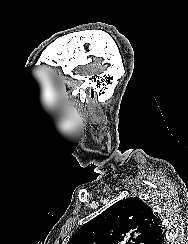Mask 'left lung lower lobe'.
<instances>
[{
	"label": "left lung lower lobe",
	"instance_id": "obj_1",
	"mask_svg": "<svg viewBox=\"0 0 188 244\" xmlns=\"http://www.w3.org/2000/svg\"><path fill=\"white\" fill-rule=\"evenodd\" d=\"M147 244H164V236L159 222L156 224Z\"/></svg>",
	"mask_w": 188,
	"mask_h": 244
}]
</instances>
